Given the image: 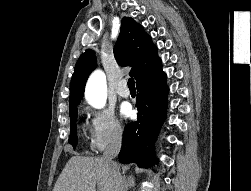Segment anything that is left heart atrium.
Here are the masks:
<instances>
[{
    "label": "left heart atrium",
    "instance_id": "obj_1",
    "mask_svg": "<svg viewBox=\"0 0 251 191\" xmlns=\"http://www.w3.org/2000/svg\"><path fill=\"white\" fill-rule=\"evenodd\" d=\"M121 114L124 117H129L131 115V107L129 105H123L121 108Z\"/></svg>",
    "mask_w": 251,
    "mask_h": 191
}]
</instances>
